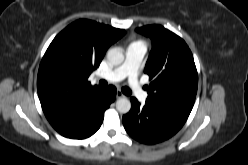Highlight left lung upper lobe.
Wrapping results in <instances>:
<instances>
[{"mask_svg":"<svg viewBox=\"0 0 248 165\" xmlns=\"http://www.w3.org/2000/svg\"><path fill=\"white\" fill-rule=\"evenodd\" d=\"M136 31L153 41L144 70L152 80L147 101L189 115L198 85V74L189 47L182 38L161 25L144 26Z\"/></svg>","mask_w":248,"mask_h":165,"instance_id":"left-lung-upper-lobe-1","label":"left lung upper lobe"}]
</instances>
